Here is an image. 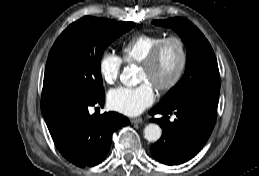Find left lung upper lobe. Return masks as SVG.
I'll list each match as a JSON object with an SVG mask.
<instances>
[{"label":"left lung upper lobe","mask_w":259,"mask_h":176,"mask_svg":"<svg viewBox=\"0 0 259 176\" xmlns=\"http://www.w3.org/2000/svg\"><path fill=\"white\" fill-rule=\"evenodd\" d=\"M153 23L175 30L187 48L183 78L159 106L170 108L191 100L218 105L220 92L218 64L213 49L202 32L182 17L155 20Z\"/></svg>","instance_id":"1"}]
</instances>
